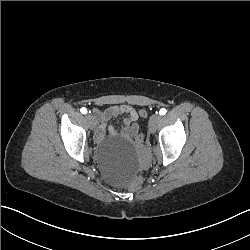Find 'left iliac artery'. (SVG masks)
I'll list each match as a JSON object with an SVG mask.
<instances>
[{"mask_svg":"<svg viewBox=\"0 0 250 250\" xmlns=\"http://www.w3.org/2000/svg\"><path fill=\"white\" fill-rule=\"evenodd\" d=\"M167 112V110L165 108H162L160 111H159V114L160 115H165Z\"/></svg>","mask_w":250,"mask_h":250,"instance_id":"obj_1","label":"left iliac artery"}]
</instances>
